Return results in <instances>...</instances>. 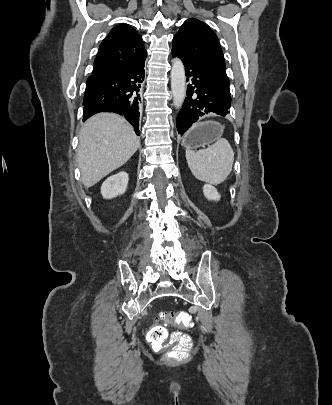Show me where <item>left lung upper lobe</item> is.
<instances>
[{
    "label": "left lung upper lobe",
    "mask_w": 332,
    "mask_h": 405,
    "mask_svg": "<svg viewBox=\"0 0 332 405\" xmlns=\"http://www.w3.org/2000/svg\"><path fill=\"white\" fill-rule=\"evenodd\" d=\"M172 49L208 72L220 86L227 105L231 106L223 52L216 34L207 24L195 18L186 20L173 38Z\"/></svg>",
    "instance_id": "left-lung-upper-lobe-1"
}]
</instances>
